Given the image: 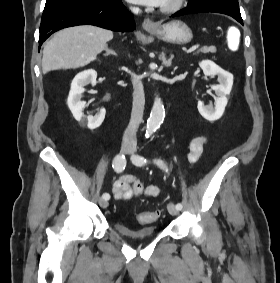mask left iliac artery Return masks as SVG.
<instances>
[{
	"instance_id": "44dca946",
	"label": "left iliac artery",
	"mask_w": 280,
	"mask_h": 283,
	"mask_svg": "<svg viewBox=\"0 0 280 283\" xmlns=\"http://www.w3.org/2000/svg\"><path fill=\"white\" fill-rule=\"evenodd\" d=\"M132 161H133L136 165H139V166L144 165V164L147 162V160H146L144 157L139 156V155H134V156H132ZM154 162H155L159 167L163 168L166 172L168 171L167 166L165 165V163H164L162 160L158 159V160H155ZM176 208L179 209V210H181V209H182V204L178 203V204L176 205Z\"/></svg>"
}]
</instances>
